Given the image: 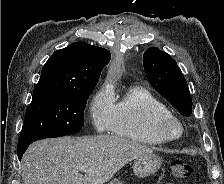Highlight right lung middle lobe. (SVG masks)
I'll return each mask as SVG.
<instances>
[{"label":"right lung middle lobe","instance_id":"right-lung-middle-lobe-1","mask_svg":"<svg viewBox=\"0 0 224 184\" xmlns=\"http://www.w3.org/2000/svg\"><path fill=\"white\" fill-rule=\"evenodd\" d=\"M92 90L34 92L17 146L81 130Z\"/></svg>","mask_w":224,"mask_h":184}]
</instances>
